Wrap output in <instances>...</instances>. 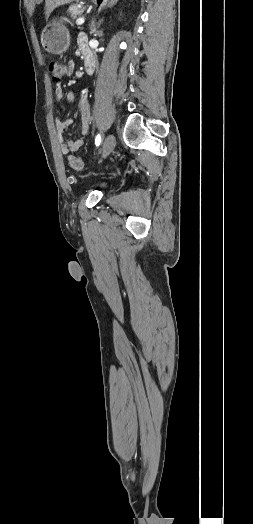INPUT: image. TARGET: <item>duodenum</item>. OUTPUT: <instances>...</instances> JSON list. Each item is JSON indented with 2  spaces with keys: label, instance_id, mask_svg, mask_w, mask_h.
I'll return each instance as SVG.
<instances>
[{
  "label": "duodenum",
  "instance_id": "duodenum-1",
  "mask_svg": "<svg viewBox=\"0 0 253 524\" xmlns=\"http://www.w3.org/2000/svg\"><path fill=\"white\" fill-rule=\"evenodd\" d=\"M85 68H86L88 73H92L94 71V66L91 63L86 62L85 63Z\"/></svg>",
  "mask_w": 253,
  "mask_h": 524
}]
</instances>
